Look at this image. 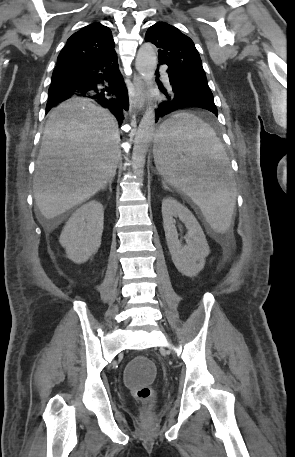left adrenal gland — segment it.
Instances as JSON below:
<instances>
[{"label":"left adrenal gland","mask_w":295,"mask_h":457,"mask_svg":"<svg viewBox=\"0 0 295 457\" xmlns=\"http://www.w3.org/2000/svg\"><path fill=\"white\" fill-rule=\"evenodd\" d=\"M162 184H163V188H164L165 190H168V187L166 186V184H165L164 182H162Z\"/></svg>","instance_id":"1"}]
</instances>
